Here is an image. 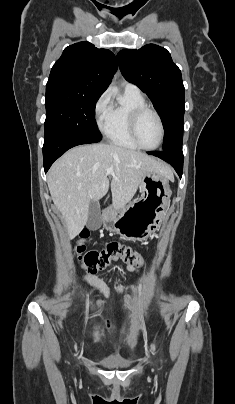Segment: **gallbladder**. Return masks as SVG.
I'll use <instances>...</instances> for the list:
<instances>
[{
    "instance_id": "bac80fb5",
    "label": "gallbladder",
    "mask_w": 235,
    "mask_h": 404,
    "mask_svg": "<svg viewBox=\"0 0 235 404\" xmlns=\"http://www.w3.org/2000/svg\"><path fill=\"white\" fill-rule=\"evenodd\" d=\"M102 216L100 212L99 205L96 201H92L89 206L87 227L90 230H97L101 227Z\"/></svg>"
}]
</instances>
